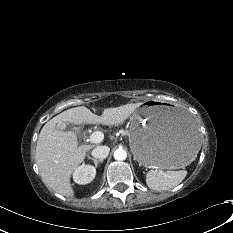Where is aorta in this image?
Segmentation results:
<instances>
[{
    "instance_id": "aorta-1",
    "label": "aorta",
    "mask_w": 233,
    "mask_h": 233,
    "mask_svg": "<svg viewBox=\"0 0 233 233\" xmlns=\"http://www.w3.org/2000/svg\"><path fill=\"white\" fill-rule=\"evenodd\" d=\"M127 158V153L124 149L118 148L114 152V159L117 161H123Z\"/></svg>"
}]
</instances>
